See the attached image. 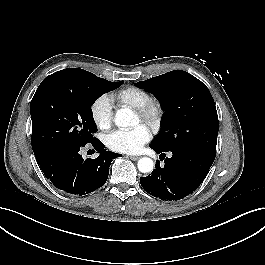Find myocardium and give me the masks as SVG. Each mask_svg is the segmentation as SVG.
I'll return each mask as SVG.
<instances>
[{
	"label": "myocardium",
	"mask_w": 265,
	"mask_h": 265,
	"mask_svg": "<svg viewBox=\"0 0 265 265\" xmlns=\"http://www.w3.org/2000/svg\"><path fill=\"white\" fill-rule=\"evenodd\" d=\"M140 120L152 128L159 126L163 116V107L159 100L150 98L145 104L135 109Z\"/></svg>",
	"instance_id": "1"
}]
</instances>
